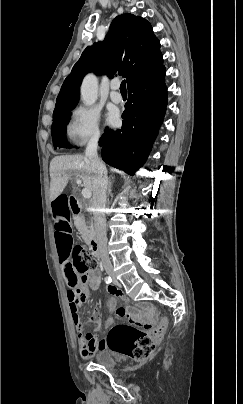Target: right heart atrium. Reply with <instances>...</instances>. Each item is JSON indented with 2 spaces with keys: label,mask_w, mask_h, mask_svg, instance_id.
Instances as JSON below:
<instances>
[{
  "label": "right heart atrium",
  "mask_w": 243,
  "mask_h": 404,
  "mask_svg": "<svg viewBox=\"0 0 243 404\" xmlns=\"http://www.w3.org/2000/svg\"><path fill=\"white\" fill-rule=\"evenodd\" d=\"M65 135L75 149L97 144L101 139L99 111L92 106H75L69 113Z\"/></svg>",
  "instance_id": "obj_1"
}]
</instances>
